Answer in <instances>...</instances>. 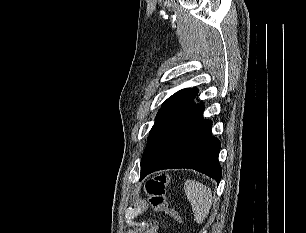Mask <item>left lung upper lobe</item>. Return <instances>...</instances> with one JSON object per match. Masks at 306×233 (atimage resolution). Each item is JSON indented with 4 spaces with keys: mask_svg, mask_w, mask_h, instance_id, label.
<instances>
[{
    "mask_svg": "<svg viewBox=\"0 0 306 233\" xmlns=\"http://www.w3.org/2000/svg\"><path fill=\"white\" fill-rule=\"evenodd\" d=\"M197 93L198 90L196 88L182 89L163 103L157 114L155 124L150 131L141 164L149 156L160 139L196 106L192 105V101Z\"/></svg>",
    "mask_w": 306,
    "mask_h": 233,
    "instance_id": "obj_1",
    "label": "left lung upper lobe"
}]
</instances>
